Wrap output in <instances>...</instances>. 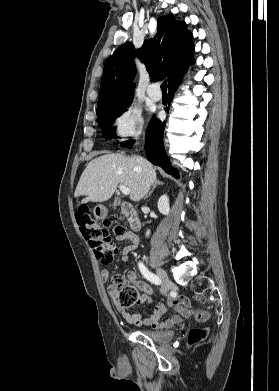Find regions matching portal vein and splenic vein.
Wrapping results in <instances>:
<instances>
[{
    "label": "portal vein and splenic vein",
    "mask_w": 279,
    "mask_h": 391,
    "mask_svg": "<svg viewBox=\"0 0 279 391\" xmlns=\"http://www.w3.org/2000/svg\"><path fill=\"white\" fill-rule=\"evenodd\" d=\"M119 188L124 195L130 194V189L128 187H126L125 185L120 184Z\"/></svg>",
    "instance_id": "1"
}]
</instances>
